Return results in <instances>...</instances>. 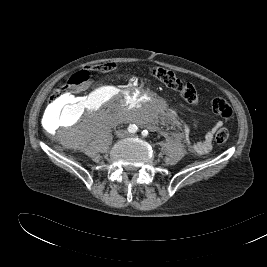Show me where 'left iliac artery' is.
Returning a JSON list of instances; mask_svg holds the SVG:
<instances>
[{"label":"left iliac artery","instance_id":"obj_1","mask_svg":"<svg viewBox=\"0 0 267 267\" xmlns=\"http://www.w3.org/2000/svg\"><path fill=\"white\" fill-rule=\"evenodd\" d=\"M141 134H142L143 137H147V136H149V132H148L147 130H143V131L141 132Z\"/></svg>","mask_w":267,"mask_h":267}]
</instances>
